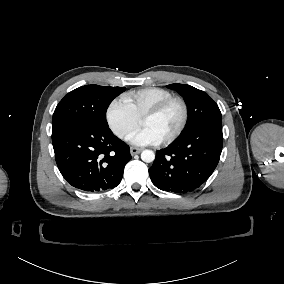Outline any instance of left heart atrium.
Instances as JSON below:
<instances>
[{"mask_svg":"<svg viewBox=\"0 0 284 284\" xmlns=\"http://www.w3.org/2000/svg\"><path fill=\"white\" fill-rule=\"evenodd\" d=\"M128 142L135 146H147L156 145L160 143V140L151 129L143 127L132 132L128 137Z\"/></svg>","mask_w":284,"mask_h":284,"instance_id":"39dd6f15","label":"left heart atrium"}]
</instances>
